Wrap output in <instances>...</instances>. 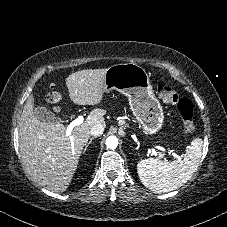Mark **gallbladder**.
I'll return each mask as SVG.
<instances>
[{"label":"gallbladder","instance_id":"1","mask_svg":"<svg viewBox=\"0 0 227 227\" xmlns=\"http://www.w3.org/2000/svg\"><path fill=\"white\" fill-rule=\"evenodd\" d=\"M36 117L41 121L59 122V118L55 117L46 107L38 106L34 109Z\"/></svg>","mask_w":227,"mask_h":227}]
</instances>
